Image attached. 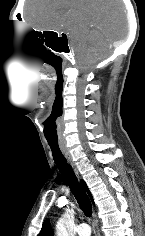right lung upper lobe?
Masks as SVG:
<instances>
[{"label": "right lung upper lobe", "instance_id": "obj_1", "mask_svg": "<svg viewBox=\"0 0 145 236\" xmlns=\"http://www.w3.org/2000/svg\"><path fill=\"white\" fill-rule=\"evenodd\" d=\"M81 183H82L83 187L85 188V190L87 191V193L89 194L90 198L92 199V196L88 190L86 183L83 180H81ZM38 236H53V231L51 229L49 220H46L43 223L42 229H41L40 233L38 234Z\"/></svg>", "mask_w": 145, "mask_h": 236}]
</instances>
